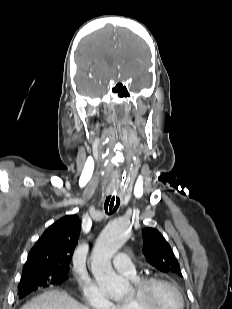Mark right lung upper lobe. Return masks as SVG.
Returning <instances> with one entry per match:
<instances>
[{
	"mask_svg": "<svg viewBox=\"0 0 232 309\" xmlns=\"http://www.w3.org/2000/svg\"><path fill=\"white\" fill-rule=\"evenodd\" d=\"M80 229L81 221L76 215L65 216L52 224L30 250L23 274L47 270L68 273Z\"/></svg>",
	"mask_w": 232,
	"mask_h": 309,
	"instance_id": "obj_1",
	"label": "right lung upper lobe"
}]
</instances>
